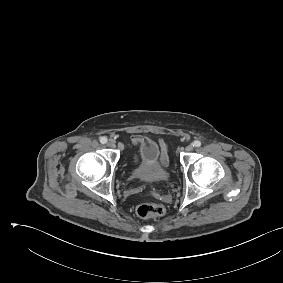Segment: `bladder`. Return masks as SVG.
Returning a JSON list of instances; mask_svg holds the SVG:
<instances>
[{"label": "bladder", "instance_id": "31cf9c89", "mask_svg": "<svg viewBox=\"0 0 283 283\" xmlns=\"http://www.w3.org/2000/svg\"><path fill=\"white\" fill-rule=\"evenodd\" d=\"M139 164L133 169L132 175L136 178H144L147 176L162 177L168 174L166 169L160 168L158 165V159L160 155V149L157 143L148 140L137 146Z\"/></svg>", "mask_w": 283, "mask_h": 283}]
</instances>
